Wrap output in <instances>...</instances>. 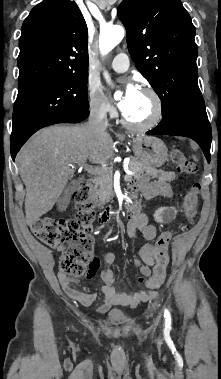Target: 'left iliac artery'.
<instances>
[{
  "label": "left iliac artery",
  "mask_w": 221,
  "mask_h": 379,
  "mask_svg": "<svg viewBox=\"0 0 221 379\" xmlns=\"http://www.w3.org/2000/svg\"><path fill=\"white\" fill-rule=\"evenodd\" d=\"M164 317H165V323L169 326L171 324V317H170L168 309H165Z\"/></svg>",
  "instance_id": "1"
}]
</instances>
